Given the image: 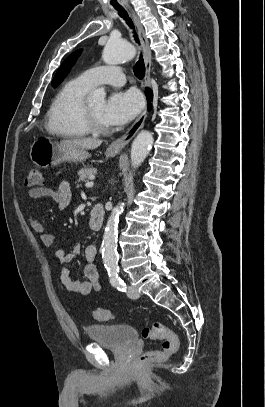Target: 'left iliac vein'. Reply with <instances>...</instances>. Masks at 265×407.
<instances>
[{
    "mask_svg": "<svg viewBox=\"0 0 265 407\" xmlns=\"http://www.w3.org/2000/svg\"><path fill=\"white\" fill-rule=\"evenodd\" d=\"M127 295H128V297L131 298V299H137V298H139V293H138V291L135 289V287H133V286H129Z\"/></svg>",
    "mask_w": 265,
    "mask_h": 407,
    "instance_id": "4c4485c4",
    "label": "left iliac vein"
}]
</instances>
